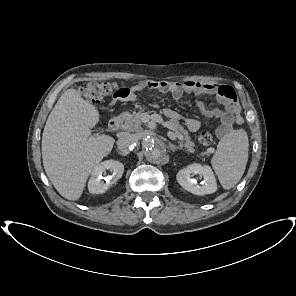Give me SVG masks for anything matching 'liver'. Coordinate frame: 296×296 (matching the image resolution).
Segmentation results:
<instances>
[{
	"mask_svg": "<svg viewBox=\"0 0 296 296\" xmlns=\"http://www.w3.org/2000/svg\"><path fill=\"white\" fill-rule=\"evenodd\" d=\"M99 111L74 88L67 89L51 111L42 135L45 172L61 196L78 200L92 169L114 145L108 135H92Z\"/></svg>",
	"mask_w": 296,
	"mask_h": 296,
	"instance_id": "6515ba94",
	"label": "liver"
}]
</instances>
